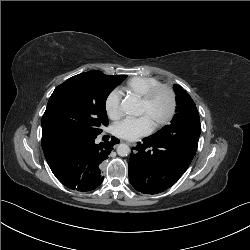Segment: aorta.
<instances>
[{
    "label": "aorta",
    "mask_w": 250,
    "mask_h": 250,
    "mask_svg": "<svg viewBox=\"0 0 250 250\" xmlns=\"http://www.w3.org/2000/svg\"><path fill=\"white\" fill-rule=\"evenodd\" d=\"M121 109L128 115L138 116L140 114L139 104L133 98L124 99L121 103ZM119 156L125 157L130 153V147L127 144H119L117 146Z\"/></svg>",
    "instance_id": "762f6f07"
}]
</instances>
